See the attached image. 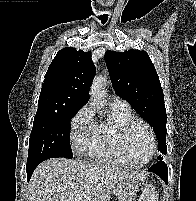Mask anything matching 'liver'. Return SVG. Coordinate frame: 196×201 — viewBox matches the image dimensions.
I'll return each mask as SVG.
<instances>
[{"label":"liver","instance_id":"liver-1","mask_svg":"<svg viewBox=\"0 0 196 201\" xmlns=\"http://www.w3.org/2000/svg\"><path fill=\"white\" fill-rule=\"evenodd\" d=\"M127 179L143 177L105 161L52 158L33 172L28 201H110L115 186Z\"/></svg>","mask_w":196,"mask_h":201}]
</instances>
